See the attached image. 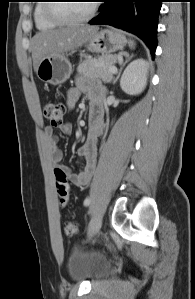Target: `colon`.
Here are the masks:
<instances>
[{"instance_id":"colon-1","label":"colon","mask_w":195,"mask_h":299,"mask_svg":"<svg viewBox=\"0 0 195 299\" xmlns=\"http://www.w3.org/2000/svg\"><path fill=\"white\" fill-rule=\"evenodd\" d=\"M65 113L66 105L60 101H49L43 107L44 117L55 127L62 125ZM54 173L59 203L62 207H66L69 199L67 176L59 168H56ZM64 229L67 235H73L78 231V224L74 221H67Z\"/></svg>"}]
</instances>
